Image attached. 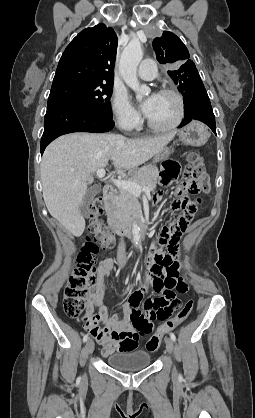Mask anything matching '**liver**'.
Wrapping results in <instances>:
<instances>
[{
    "mask_svg": "<svg viewBox=\"0 0 255 418\" xmlns=\"http://www.w3.org/2000/svg\"><path fill=\"white\" fill-rule=\"evenodd\" d=\"M175 135L129 139L111 133H71L57 138L41 161L43 198L49 213L74 236H81L85 219L80 205L92 175L109 161L116 173L125 175L164 150Z\"/></svg>",
    "mask_w": 255,
    "mask_h": 418,
    "instance_id": "liver-1",
    "label": "liver"
}]
</instances>
